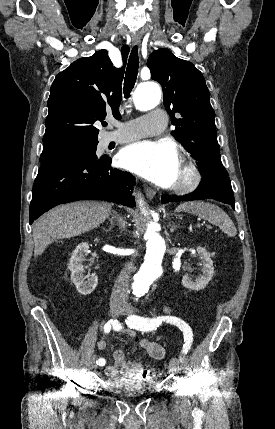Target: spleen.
<instances>
[{
    "mask_svg": "<svg viewBox=\"0 0 275 429\" xmlns=\"http://www.w3.org/2000/svg\"><path fill=\"white\" fill-rule=\"evenodd\" d=\"M177 212H187L198 216L220 229L230 237L237 234L236 227L230 217L218 206L203 201H193L181 204L176 208Z\"/></svg>",
    "mask_w": 275,
    "mask_h": 429,
    "instance_id": "obj_1",
    "label": "spleen"
}]
</instances>
